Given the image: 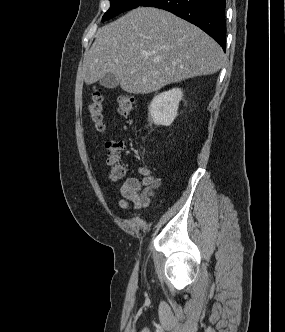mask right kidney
Here are the masks:
<instances>
[{
  "label": "right kidney",
  "mask_w": 285,
  "mask_h": 332,
  "mask_svg": "<svg viewBox=\"0 0 285 332\" xmlns=\"http://www.w3.org/2000/svg\"><path fill=\"white\" fill-rule=\"evenodd\" d=\"M183 92L173 88L153 98L149 107V116L156 125L169 126L177 117L179 102Z\"/></svg>",
  "instance_id": "1"
}]
</instances>
